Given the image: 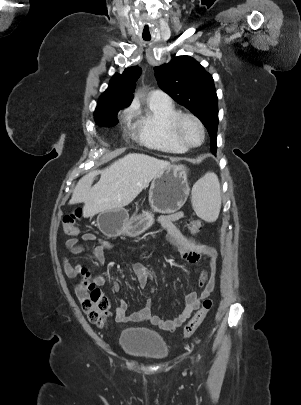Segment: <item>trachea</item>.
<instances>
[{
  "mask_svg": "<svg viewBox=\"0 0 301 405\" xmlns=\"http://www.w3.org/2000/svg\"><path fill=\"white\" fill-rule=\"evenodd\" d=\"M145 41H150L151 37H145L143 38Z\"/></svg>",
  "mask_w": 301,
  "mask_h": 405,
  "instance_id": "obj_1",
  "label": "trachea"
}]
</instances>
